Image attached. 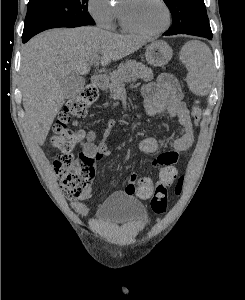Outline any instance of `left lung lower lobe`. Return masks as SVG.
Here are the masks:
<instances>
[{
    "instance_id": "left-lung-lower-lobe-1",
    "label": "left lung lower lobe",
    "mask_w": 245,
    "mask_h": 300,
    "mask_svg": "<svg viewBox=\"0 0 245 300\" xmlns=\"http://www.w3.org/2000/svg\"><path fill=\"white\" fill-rule=\"evenodd\" d=\"M182 34H190V35H195V36H199V37H204V38H207L209 40L212 39V33H191V32H185V33H182ZM164 35H168L166 33H164ZM175 35V34H174Z\"/></svg>"
}]
</instances>
